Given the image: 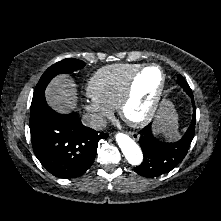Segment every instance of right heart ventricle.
I'll use <instances>...</instances> for the list:
<instances>
[{
    "label": "right heart ventricle",
    "mask_w": 221,
    "mask_h": 221,
    "mask_svg": "<svg viewBox=\"0 0 221 221\" xmlns=\"http://www.w3.org/2000/svg\"><path fill=\"white\" fill-rule=\"evenodd\" d=\"M140 67L138 64H115L99 69L87 83V95L111 109L117 108L129 78Z\"/></svg>",
    "instance_id": "right-heart-ventricle-1"
}]
</instances>
